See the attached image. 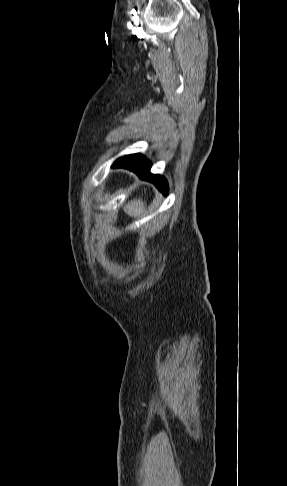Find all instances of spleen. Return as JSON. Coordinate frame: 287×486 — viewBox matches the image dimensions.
<instances>
[{"mask_svg": "<svg viewBox=\"0 0 287 486\" xmlns=\"http://www.w3.org/2000/svg\"><path fill=\"white\" fill-rule=\"evenodd\" d=\"M146 203L142 199H133L124 205L123 210L130 217L139 218L146 215Z\"/></svg>", "mask_w": 287, "mask_h": 486, "instance_id": "obj_1", "label": "spleen"}]
</instances>
